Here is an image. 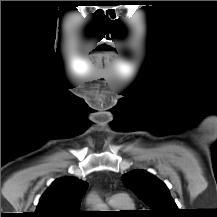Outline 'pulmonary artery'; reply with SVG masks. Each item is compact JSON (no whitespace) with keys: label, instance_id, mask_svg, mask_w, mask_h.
<instances>
[{"label":"pulmonary artery","instance_id":"pulmonary-artery-1","mask_svg":"<svg viewBox=\"0 0 217 217\" xmlns=\"http://www.w3.org/2000/svg\"><path fill=\"white\" fill-rule=\"evenodd\" d=\"M128 197L125 193L118 192L113 194L109 199L108 203L110 205H121L128 202Z\"/></svg>","mask_w":217,"mask_h":217}]
</instances>
